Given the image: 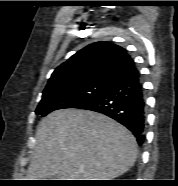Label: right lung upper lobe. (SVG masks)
Returning a JSON list of instances; mask_svg holds the SVG:
<instances>
[{
    "label": "right lung upper lobe",
    "instance_id": "cb5924a9",
    "mask_svg": "<svg viewBox=\"0 0 178 186\" xmlns=\"http://www.w3.org/2000/svg\"><path fill=\"white\" fill-rule=\"evenodd\" d=\"M137 71L133 59L124 48L110 42H96L57 67L43 92L89 83L110 85Z\"/></svg>",
    "mask_w": 178,
    "mask_h": 186
}]
</instances>
